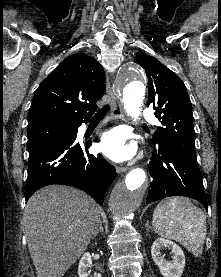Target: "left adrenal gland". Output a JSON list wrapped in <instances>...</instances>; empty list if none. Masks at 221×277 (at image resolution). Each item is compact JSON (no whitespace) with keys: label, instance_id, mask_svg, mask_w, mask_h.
Masks as SVG:
<instances>
[{"label":"left adrenal gland","instance_id":"a2214340","mask_svg":"<svg viewBox=\"0 0 221 277\" xmlns=\"http://www.w3.org/2000/svg\"><path fill=\"white\" fill-rule=\"evenodd\" d=\"M146 228H147V230L151 229V227L149 226V221H147V223H146Z\"/></svg>","mask_w":221,"mask_h":277}]
</instances>
